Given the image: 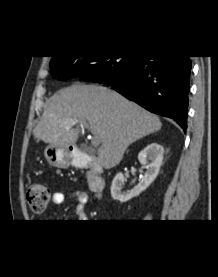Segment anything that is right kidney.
<instances>
[{
  "label": "right kidney",
  "instance_id": "1",
  "mask_svg": "<svg viewBox=\"0 0 218 277\" xmlns=\"http://www.w3.org/2000/svg\"><path fill=\"white\" fill-rule=\"evenodd\" d=\"M164 148L160 144L151 143L138 154L139 162L147 169L139 184L126 194H122L125 182L124 175L119 172L116 174L111 185V196L114 200L126 202L138 196L146 190L156 179L162 165Z\"/></svg>",
  "mask_w": 218,
  "mask_h": 277
}]
</instances>
